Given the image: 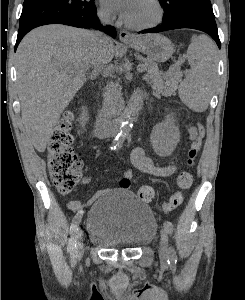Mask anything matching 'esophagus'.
<instances>
[{
	"label": "esophagus",
	"mask_w": 245,
	"mask_h": 300,
	"mask_svg": "<svg viewBox=\"0 0 245 300\" xmlns=\"http://www.w3.org/2000/svg\"><path fill=\"white\" fill-rule=\"evenodd\" d=\"M119 39L122 42H131L134 41L136 38L130 32L122 30L119 33Z\"/></svg>",
	"instance_id": "1"
}]
</instances>
